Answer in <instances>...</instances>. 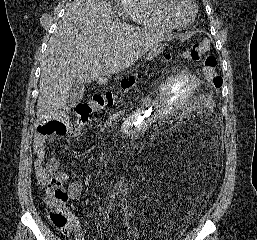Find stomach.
Returning a JSON list of instances; mask_svg holds the SVG:
<instances>
[{
    "label": "stomach",
    "mask_w": 257,
    "mask_h": 240,
    "mask_svg": "<svg viewBox=\"0 0 257 240\" xmlns=\"http://www.w3.org/2000/svg\"><path fill=\"white\" fill-rule=\"evenodd\" d=\"M164 50V46L162 44L156 45L155 47H153L149 53L147 54L146 59L147 60H152L155 57H157L160 53H162Z\"/></svg>",
    "instance_id": "1"
}]
</instances>
